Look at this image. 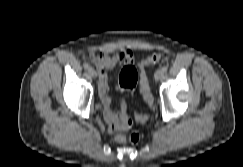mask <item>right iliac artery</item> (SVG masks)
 <instances>
[{"label": "right iliac artery", "mask_w": 243, "mask_h": 167, "mask_svg": "<svg viewBox=\"0 0 243 167\" xmlns=\"http://www.w3.org/2000/svg\"><path fill=\"white\" fill-rule=\"evenodd\" d=\"M84 69L89 70L90 69V65L88 63H85L84 64Z\"/></svg>", "instance_id": "82829eb1"}]
</instances>
